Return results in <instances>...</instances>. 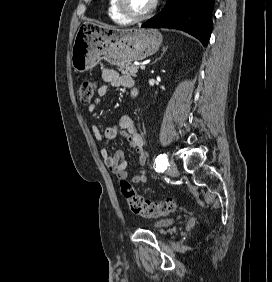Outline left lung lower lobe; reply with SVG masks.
Listing matches in <instances>:
<instances>
[{"label": "left lung lower lobe", "instance_id": "0a47b994", "mask_svg": "<svg viewBox=\"0 0 272 282\" xmlns=\"http://www.w3.org/2000/svg\"><path fill=\"white\" fill-rule=\"evenodd\" d=\"M212 9L213 0H167L164 9L141 27L179 29L207 46L212 31Z\"/></svg>", "mask_w": 272, "mask_h": 282}]
</instances>
